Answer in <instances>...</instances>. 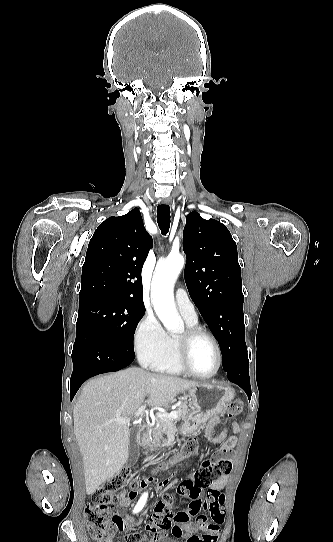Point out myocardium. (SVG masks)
Returning a JSON list of instances; mask_svg holds the SVG:
<instances>
[{"label":"myocardium","instance_id":"1","mask_svg":"<svg viewBox=\"0 0 333 542\" xmlns=\"http://www.w3.org/2000/svg\"><path fill=\"white\" fill-rule=\"evenodd\" d=\"M207 338L214 346L217 354V365L215 370L207 375L194 372L189 364V353L191 344L198 338ZM175 355L177 361L186 374L198 379H210L217 375L222 366V351L217 339L207 330L201 327H188L181 335L175 339Z\"/></svg>","mask_w":333,"mask_h":542}]
</instances>
